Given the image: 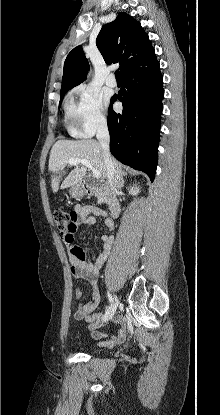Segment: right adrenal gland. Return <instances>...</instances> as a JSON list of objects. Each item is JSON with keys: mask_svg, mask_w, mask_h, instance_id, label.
I'll return each mask as SVG.
<instances>
[{"mask_svg": "<svg viewBox=\"0 0 220 415\" xmlns=\"http://www.w3.org/2000/svg\"><path fill=\"white\" fill-rule=\"evenodd\" d=\"M126 173L122 172V171H117L116 172V177H119L122 181H123V176H125Z\"/></svg>", "mask_w": 220, "mask_h": 415, "instance_id": "1", "label": "right adrenal gland"}]
</instances>
